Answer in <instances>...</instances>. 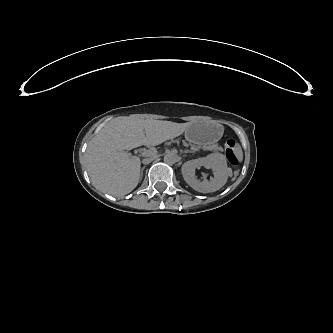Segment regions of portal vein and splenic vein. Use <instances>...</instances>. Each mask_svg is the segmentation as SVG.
Returning <instances> with one entry per match:
<instances>
[{
    "mask_svg": "<svg viewBox=\"0 0 333 333\" xmlns=\"http://www.w3.org/2000/svg\"><path fill=\"white\" fill-rule=\"evenodd\" d=\"M154 153H156V151L146 150V151H144V152L142 153V155L145 156V157H148V156H150V155H152V154H154Z\"/></svg>",
    "mask_w": 333,
    "mask_h": 333,
    "instance_id": "18ae733b",
    "label": "portal vein and splenic vein"
}]
</instances>
